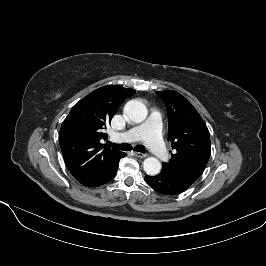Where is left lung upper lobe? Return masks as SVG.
I'll list each match as a JSON object with an SVG mask.
<instances>
[{"instance_id": "left-lung-upper-lobe-1", "label": "left lung upper lobe", "mask_w": 266, "mask_h": 266, "mask_svg": "<svg viewBox=\"0 0 266 266\" xmlns=\"http://www.w3.org/2000/svg\"><path fill=\"white\" fill-rule=\"evenodd\" d=\"M168 112V140L174 153L162 171L179 183L190 187L203 173L210 154L208 128L193 105L176 91H159Z\"/></svg>"}]
</instances>
